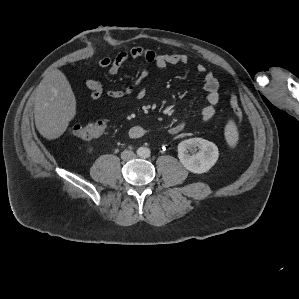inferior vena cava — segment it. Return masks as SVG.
Wrapping results in <instances>:
<instances>
[{"label":"inferior vena cava","instance_id":"obj_1","mask_svg":"<svg viewBox=\"0 0 299 299\" xmlns=\"http://www.w3.org/2000/svg\"><path fill=\"white\" fill-rule=\"evenodd\" d=\"M121 158L122 160L124 161H128V160H131L133 158H135V153L130 151V150H124L122 153H121Z\"/></svg>","mask_w":299,"mask_h":299}]
</instances>
